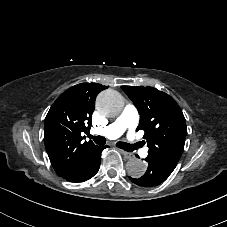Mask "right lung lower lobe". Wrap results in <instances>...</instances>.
Returning <instances> with one entry per match:
<instances>
[{
	"mask_svg": "<svg viewBox=\"0 0 227 227\" xmlns=\"http://www.w3.org/2000/svg\"><path fill=\"white\" fill-rule=\"evenodd\" d=\"M103 149H105V147L95 146L91 148L72 170L60 177L70 182H84L90 179L99 170L101 152Z\"/></svg>",
	"mask_w": 227,
	"mask_h": 227,
	"instance_id": "obj_1",
	"label": "right lung lower lobe"
}]
</instances>
